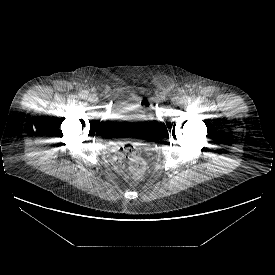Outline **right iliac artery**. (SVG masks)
<instances>
[{"label":"right iliac artery","mask_w":275,"mask_h":275,"mask_svg":"<svg viewBox=\"0 0 275 275\" xmlns=\"http://www.w3.org/2000/svg\"><path fill=\"white\" fill-rule=\"evenodd\" d=\"M80 96H81V98L85 99V98L88 97V92H87V91H82V92L80 93Z\"/></svg>","instance_id":"82829eb1"}]
</instances>
